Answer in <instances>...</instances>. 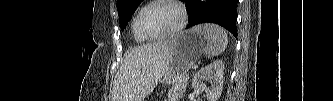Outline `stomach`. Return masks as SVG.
I'll list each match as a JSON object with an SVG mask.
<instances>
[{
    "label": "stomach",
    "instance_id": "obj_1",
    "mask_svg": "<svg viewBox=\"0 0 333 101\" xmlns=\"http://www.w3.org/2000/svg\"><path fill=\"white\" fill-rule=\"evenodd\" d=\"M204 39L193 29L184 31L170 40V58L163 76L166 84H175L204 52Z\"/></svg>",
    "mask_w": 333,
    "mask_h": 101
}]
</instances>
